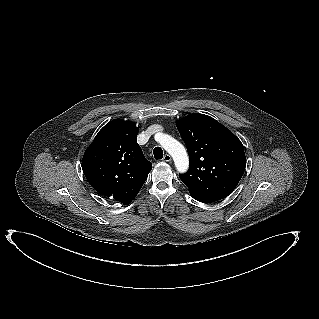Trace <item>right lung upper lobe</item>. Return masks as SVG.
<instances>
[{
	"instance_id": "1",
	"label": "right lung upper lobe",
	"mask_w": 319,
	"mask_h": 319,
	"mask_svg": "<svg viewBox=\"0 0 319 319\" xmlns=\"http://www.w3.org/2000/svg\"><path fill=\"white\" fill-rule=\"evenodd\" d=\"M137 134L134 123L113 120L99 131L82 160L90 185L123 204L136 197L152 168L136 141Z\"/></svg>"
}]
</instances>
